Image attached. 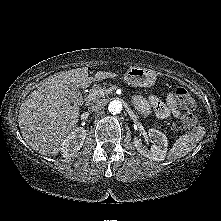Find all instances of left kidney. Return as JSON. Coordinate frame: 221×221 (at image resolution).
Returning a JSON list of instances; mask_svg holds the SVG:
<instances>
[{"label": "left kidney", "instance_id": "5707ae66", "mask_svg": "<svg viewBox=\"0 0 221 221\" xmlns=\"http://www.w3.org/2000/svg\"><path fill=\"white\" fill-rule=\"evenodd\" d=\"M148 135L153 139L154 144L148 149L142 144V142L135 137L134 146L136 150L143 155L144 157L154 160V161H163L166 157L168 140L164 133L156 130L154 128L149 129Z\"/></svg>", "mask_w": 221, "mask_h": 221}]
</instances>
